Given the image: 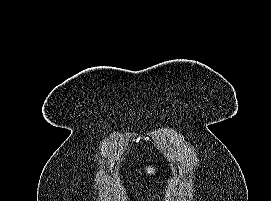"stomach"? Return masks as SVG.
<instances>
[{
    "label": "stomach",
    "instance_id": "0dacf381",
    "mask_svg": "<svg viewBox=\"0 0 271 201\" xmlns=\"http://www.w3.org/2000/svg\"><path fill=\"white\" fill-rule=\"evenodd\" d=\"M154 173H155V168H153L151 166L146 168V174L151 175V174H154Z\"/></svg>",
    "mask_w": 271,
    "mask_h": 201
}]
</instances>
